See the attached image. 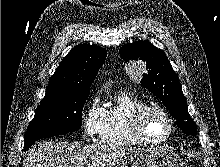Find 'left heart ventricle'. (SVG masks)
<instances>
[{
    "mask_svg": "<svg viewBox=\"0 0 220 167\" xmlns=\"http://www.w3.org/2000/svg\"><path fill=\"white\" fill-rule=\"evenodd\" d=\"M144 131L151 139H161L168 135L169 124L158 112H150L144 121Z\"/></svg>",
    "mask_w": 220,
    "mask_h": 167,
    "instance_id": "b2bd125f",
    "label": "left heart ventricle"
}]
</instances>
